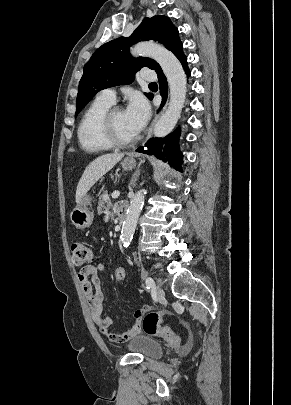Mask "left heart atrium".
<instances>
[{"label":"left heart atrium","mask_w":291,"mask_h":405,"mask_svg":"<svg viewBox=\"0 0 291 405\" xmlns=\"http://www.w3.org/2000/svg\"><path fill=\"white\" fill-rule=\"evenodd\" d=\"M125 114L131 128L135 133H139L149 119L150 108L143 98L135 97L130 101Z\"/></svg>","instance_id":"left-heart-atrium-1"}]
</instances>
